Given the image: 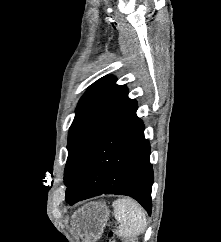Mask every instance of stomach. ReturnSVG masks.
<instances>
[{
    "instance_id": "0dacf381",
    "label": "stomach",
    "mask_w": 221,
    "mask_h": 242,
    "mask_svg": "<svg viewBox=\"0 0 221 242\" xmlns=\"http://www.w3.org/2000/svg\"><path fill=\"white\" fill-rule=\"evenodd\" d=\"M109 219L105 203L91 202L74 214L73 227L83 242H96L102 235Z\"/></svg>"
}]
</instances>
